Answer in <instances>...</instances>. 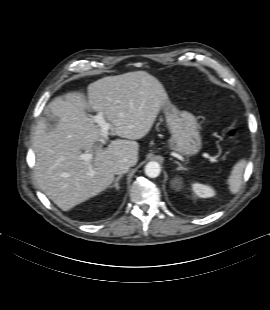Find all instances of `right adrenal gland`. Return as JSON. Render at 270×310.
I'll return each instance as SVG.
<instances>
[{"instance_id": "right-adrenal-gland-1", "label": "right adrenal gland", "mask_w": 270, "mask_h": 310, "mask_svg": "<svg viewBox=\"0 0 270 310\" xmlns=\"http://www.w3.org/2000/svg\"><path fill=\"white\" fill-rule=\"evenodd\" d=\"M123 176L122 175H119L115 178V181L114 183L109 186V188H115L117 191L120 189V186H119V180L122 178Z\"/></svg>"}]
</instances>
